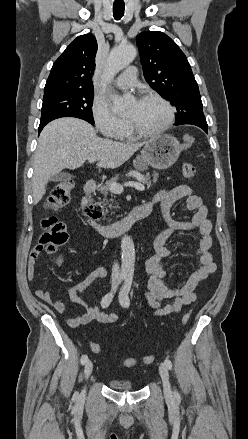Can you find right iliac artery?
Wrapping results in <instances>:
<instances>
[{
    "label": "right iliac artery",
    "mask_w": 248,
    "mask_h": 439,
    "mask_svg": "<svg viewBox=\"0 0 248 439\" xmlns=\"http://www.w3.org/2000/svg\"><path fill=\"white\" fill-rule=\"evenodd\" d=\"M125 278H126L125 275H120V276H119V279H118V284L121 283ZM113 297H114V291H111V292H109L108 294H106V295L102 298L101 306H102L103 308H107V307L110 305V303L112 302ZM87 361H88V356H87V355H83V356L81 357V360H80L81 364L84 365Z\"/></svg>",
    "instance_id": "obj_1"
}]
</instances>
